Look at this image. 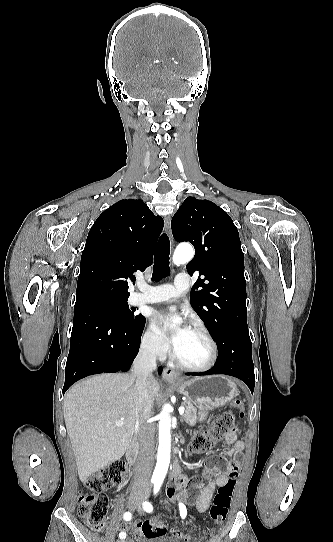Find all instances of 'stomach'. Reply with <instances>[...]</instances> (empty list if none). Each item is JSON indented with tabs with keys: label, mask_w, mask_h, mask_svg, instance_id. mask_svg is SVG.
<instances>
[{
	"label": "stomach",
	"mask_w": 333,
	"mask_h": 542,
	"mask_svg": "<svg viewBox=\"0 0 333 542\" xmlns=\"http://www.w3.org/2000/svg\"><path fill=\"white\" fill-rule=\"evenodd\" d=\"M179 394L188 398L199 408V422L206 420L209 410L222 408L238 396V388L233 378L228 376H202L192 380H178L171 384Z\"/></svg>",
	"instance_id": "stomach-1"
}]
</instances>
